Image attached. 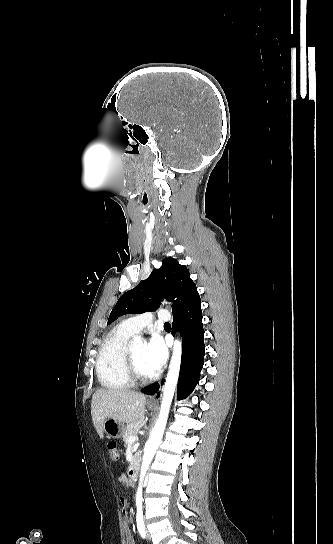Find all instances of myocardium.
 I'll return each instance as SVG.
<instances>
[{"label":"myocardium","instance_id":"obj_1","mask_svg":"<svg viewBox=\"0 0 333 544\" xmlns=\"http://www.w3.org/2000/svg\"><path fill=\"white\" fill-rule=\"evenodd\" d=\"M125 365H126L127 374L130 380L134 383H146L154 378L153 374L142 375L139 372L130 347H127L126 349Z\"/></svg>","mask_w":333,"mask_h":544}]
</instances>
